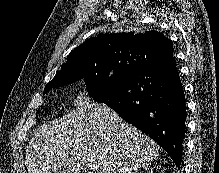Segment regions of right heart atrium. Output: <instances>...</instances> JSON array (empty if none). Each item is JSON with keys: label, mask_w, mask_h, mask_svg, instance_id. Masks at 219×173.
Here are the masks:
<instances>
[{"label": "right heart atrium", "mask_w": 219, "mask_h": 173, "mask_svg": "<svg viewBox=\"0 0 219 173\" xmlns=\"http://www.w3.org/2000/svg\"><path fill=\"white\" fill-rule=\"evenodd\" d=\"M91 102V96L86 88H80L74 93L73 103L79 107H86Z\"/></svg>", "instance_id": "d8ad5b80"}]
</instances>
